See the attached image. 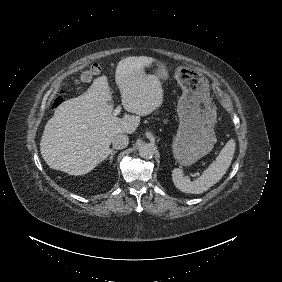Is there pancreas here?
I'll list each match as a JSON object with an SVG mask.
<instances>
[{
  "label": "pancreas",
  "instance_id": "obj_1",
  "mask_svg": "<svg viewBox=\"0 0 282 282\" xmlns=\"http://www.w3.org/2000/svg\"><path fill=\"white\" fill-rule=\"evenodd\" d=\"M159 112H160V110H159V109H156V110L154 111V115H158ZM161 112H162V114H165L163 111H161Z\"/></svg>",
  "mask_w": 282,
  "mask_h": 282
}]
</instances>
